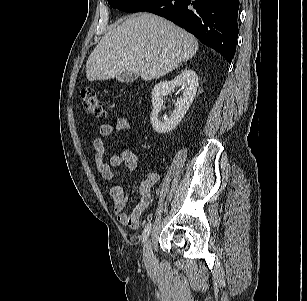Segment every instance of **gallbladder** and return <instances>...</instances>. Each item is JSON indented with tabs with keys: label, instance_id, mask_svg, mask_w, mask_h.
Instances as JSON below:
<instances>
[{
	"label": "gallbladder",
	"instance_id": "obj_1",
	"mask_svg": "<svg viewBox=\"0 0 307 301\" xmlns=\"http://www.w3.org/2000/svg\"><path fill=\"white\" fill-rule=\"evenodd\" d=\"M137 74L132 72H124L117 76V80L121 83H130L137 79Z\"/></svg>",
	"mask_w": 307,
	"mask_h": 301
}]
</instances>
